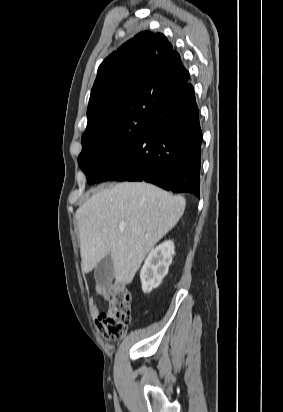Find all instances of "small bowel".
I'll return each instance as SVG.
<instances>
[{"instance_id":"1","label":"small bowel","mask_w":283,"mask_h":412,"mask_svg":"<svg viewBox=\"0 0 283 412\" xmlns=\"http://www.w3.org/2000/svg\"><path fill=\"white\" fill-rule=\"evenodd\" d=\"M106 292L102 286L95 287V295L97 296H105ZM89 307L94 315H100L98 311V303L95 296L89 298Z\"/></svg>"}]
</instances>
